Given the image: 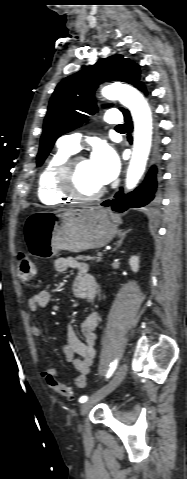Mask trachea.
<instances>
[{
    "mask_svg": "<svg viewBox=\"0 0 187 479\" xmlns=\"http://www.w3.org/2000/svg\"><path fill=\"white\" fill-rule=\"evenodd\" d=\"M116 128H117V129H124L125 126H124V125H118Z\"/></svg>",
    "mask_w": 187,
    "mask_h": 479,
    "instance_id": "1",
    "label": "trachea"
}]
</instances>
